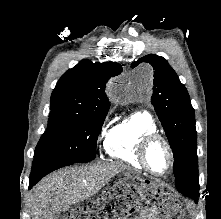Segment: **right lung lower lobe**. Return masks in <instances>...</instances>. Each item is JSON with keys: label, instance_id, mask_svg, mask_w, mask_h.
I'll use <instances>...</instances> for the list:
<instances>
[{"label": "right lung lower lobe", "instance_id": "obj_1", "mask_svg": "<svg viewBox=\"0 0 221 219\" xmlns=\"http://www.w3.org/2000/svg\"><path fill=\"white\" fill-rule=\"evenodd\" d=\"M71 164H74V162L49 154L34 157L29 180V189L48 173Z\"/></svg>", "mask_w": 221, "mask_h": 219}]
</instances>
